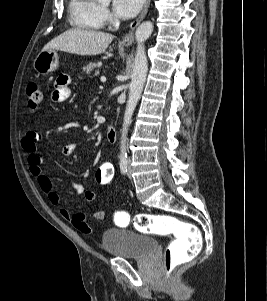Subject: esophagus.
<instances>
[{"label":"esophagus","mask_w":267,"mask_h":301,"mask_svg":"<svg viewBox=\"0 0 267 301\" xmlns=\"http://www.w3.org/2000/svg\"><path fill=\"white\" fill-rule=\"evenodd\" d=\"M149 5H150V0H146L139 17L131 23L130 31L124 36V38L122 40V44L124 46H129L134 41V31H135L136 27L140 24V22L146 16Z\"/></svg>","instance_id":"1"}]
</instances>
